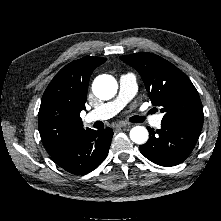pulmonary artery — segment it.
<instances>
[{
    "mask_svg": "<svg viewBox=\"0 0 221 221\" xmlns=\"http://www.w3.org/2000/svg\"><path fill=\"white\" fill-rule=\"evenodd\" d=\"M137 90L136 78L133 74H123L119 79V93L117 97L107 102L96 109L92 110L85 117L87 123L106 120L114 115H116L128 102H130ZM145 120L149 117L147 113L142 114ZM162 115H155L150 118V123L154 127H159L161 125Z\"/></svg>",
    "mask_w": 221,
    "mask_h": 221,
    "instance_id": "obj_1",
    "label": "pulmonary artery"
}]
</instances>
